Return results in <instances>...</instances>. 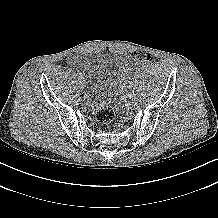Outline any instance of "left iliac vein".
Listing matches in <instances>:
<instances>
[{"label":"left iliac vein","instance_id":"left-iliac-vein-1","mask_svg":"<svg viewBox=\"0 0 218 218\" xmlns=\"http://www.w3.org/2000/svg\"><path fill=\"white\" fill-rule=\"evenodd\" d=\"M128 102H134V97H128Z\"/></svg>","mask_w":218,"mask_h":218}]
</instances>
